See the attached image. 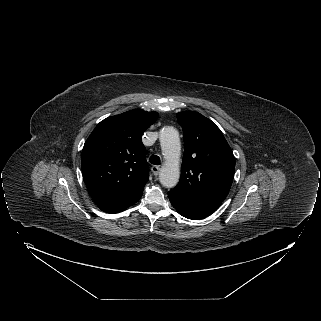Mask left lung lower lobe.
<instances>
[{"label":"left lung lower lobe","instance_id":"1","mask_svg":"<svg viewBox=\"0 0 321 321\" xmlns=\"http://www.w3.org/2000/svg\"><path fill=\"white\" fill-rule=\"evenodd\" d=\"M168 197L179 214L192 220L211 215L221 205V202L191 197L177 190L169 191Z\"/></svg>","mask_w":321,"mask_h":321}]
</instances>
